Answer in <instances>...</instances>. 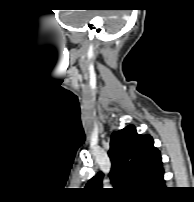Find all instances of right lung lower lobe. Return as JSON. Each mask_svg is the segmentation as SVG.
<instances>
[{"instance_id":"right-lung-lower-lobe-1","label":"right lung lower lobe","mask_w":194,"mask_h":202,"mask_svg":"<svg viewBox=\"0 0 194 202\" xmlns=\"http://www.w3.org/2000/svg\"><path fill=\"white\" fill-rule=\"evenodd\" d=\"M164 189H165V187L162 190L158 191L157 193H154L153 196H159V195H161L163 193Z\"/></svg>"}]
</instances>
